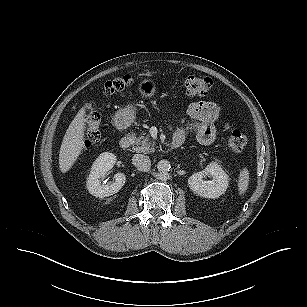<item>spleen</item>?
Listing matches in <instances>:
<instances>
[{"label":"spleen","instance_id":"spleen-1","mask_svg":"<svg viewBox=\"0 0 307 307\" xmlns=\"http://www.w3.org/2000/svg\"><path fill=\"white\" fill-rule=\"evenodd\" d=\"M248 185H249V171L247 168H243L240 171L239 180H238V190L240 195L244 194L247 191Z\"/></svg>","mask_w":307,"mask_h":307}]
</instances>
